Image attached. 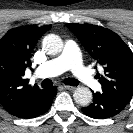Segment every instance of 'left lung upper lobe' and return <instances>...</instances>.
Masks as SVG:
<instances>
[{
    "mask_svg": "<svg viewBox=\"0 0 133 133\" xmlns=\"http://www.w3.org/2000/svg\"><path fill=\"white\" fill-rule=\"evenodd\" d=\"M90 56L104 68L96 78L101 93L129 102L133 96V54L113 31L92 24H67Z\"/></svg>",
    "mask_w": 133,
    "mask_h": 133,
    "instance_id": "left-lung-upper-lobe-1",
    "label": "left lung upper lobe"
}]
</instances>
